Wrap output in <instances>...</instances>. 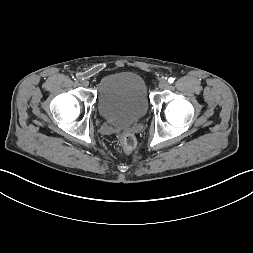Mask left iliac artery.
I'll list each match as a JSON object with an SVG mask.
<instances>
[{"label": "left iliac artery", "mask_w": 253, "mask_h": 253, "mask_svg": "<svg viewBox=\"0 0 253 253\" xmlns=\"http://www.w3.org/2000/svg\"><path fill=\"white\" fill-rule=\"evenodd\" d=\"M168 82H169V83H173V82H174V78L170 77V78L168 79Z\"/></svg>", "instance_id": "obj_1"}]
</instances>
